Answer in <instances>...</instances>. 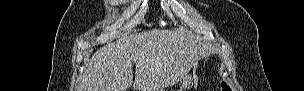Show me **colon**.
I'll use <instances>...</instances> for the list:
<instances>
[{"label":"colon","mask_w":304,"mask_h":91,"mask_svg":"<svg viewBox=\"0 0 304 91\" xmlns=\"http://www.w3.org/2000/svg\"><path fill=\"white\" fill-rule=\"evenodd\" d=\"M221 90L222 91H230L231 89L226 84L223 83Z\"/></svg>","instance_id":"obj_1"}]
</instances>
